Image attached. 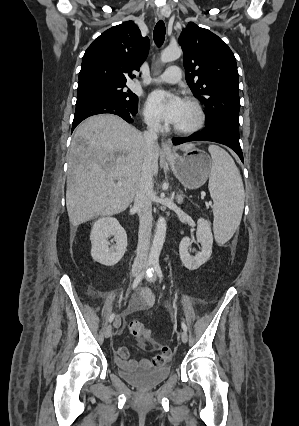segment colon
Segmentation results:
<instances>
[{
    "label": "colon",
    "mask_w": 299,
    "mask_h": 426,
    "mask_svg": "<svg viewBox=\"0 0 299 426\" xmlns=\"http://www.w3.org/2000/svg\"><path fill=\"white\" fill-rule=\"evenodd\" d=\"M129 329L133 336L142 340H147L149 342H152L153 344L160 347L158 341L154 338L151 331L147 327H145V325L142 324L141 322L139 321L131 322ZM161 350L166 351L167 353L171 352L167 347H161Z\"/></svg>",
    "instance_id": "obj_1"
}]
</instances>
